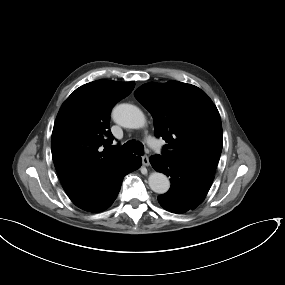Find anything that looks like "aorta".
Returning a JSON list of instances; mask_svg holds the SVG:
<instances>
[{
    "label": "aorta",
    "instance_id": "1",
    "mask_svg": "<svg viewBox=\"0 0 285 285\" xmlns=\"http://www.w3.org/2000/svg\"><path fill=\"white\" fill-rule=\"evenodd\" d=\"M113 120L122 127L139 129L146 124L143 112L131 104H119L112 112ZM148 184L152 191L158 194L166 193L170 188V181L166 175L160 172H153L148 177Z\"/></svg>",
    "mask_w": 285,
    "mask_h": 285
}]
</instances>
